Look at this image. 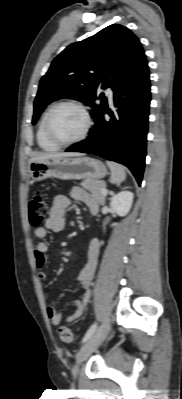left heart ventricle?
Returning a JSON list of instances; mask_svg holds the SVG:
<instances>
[{"label":"left heart ventricle","instance_id":"1","mask_svg":"<svg viewBox=\"0 0 182 399\" xmlns=\"http://www.w3.org/2000/svg\"><path fill=\"white\" fill-rule=\"evenodd\" d=\"M85 126L81 111L72 106L59 108L52 116L51 129L55 137L62 141L78 137Z\"/></svg>","mask_w":182,"mask_h":399}]
</instances>
